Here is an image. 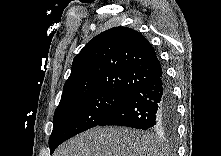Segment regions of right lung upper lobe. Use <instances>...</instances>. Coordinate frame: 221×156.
Returning <instances> with one entry per match:
<instances>
[{"label": "right lung upper lobe", "instance_id": "obj_1", "mask_svg": "<svg viewBox=\"0 0 221 156\" xmlns=\"http://www.w3.org/2000/svg\"><path fill=\"white\" fill-rule=\"evenodd\" d=\"M71 70L60 103L102 92L131 96L163 73L152 45L127 27L108 29L90 40Z\"/></svg>", "mask_w": 221, "mask_h": 156}]
</instances>
